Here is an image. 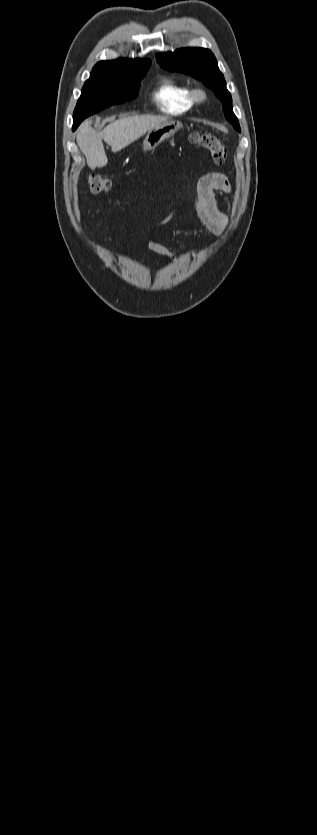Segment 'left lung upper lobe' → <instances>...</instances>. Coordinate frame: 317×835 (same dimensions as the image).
I'll use <instances>...</instances> for the list:
<instances>
[{
    "mask_svg": "<svg viewBox=\"0 0 317 835\" xmlns=\"http://www.w3.org/2000/svg\"><path fill=\"white\" fill-rule=\"evenodd\" d=\"M157 61L164 69L191 75L211 88L223 103L226 119L237 131L241 132L238 119L232 110V98L226 88L224 76L218 68L215 56L209 49L198 47L178 49L173 53L158 54Z\"/></svg>",
    "mask_w": 317,
    "mask_h": 835,
    "instance_id": "obj_1",
    "label": "left lung upper lobe"
}]
</instances>
